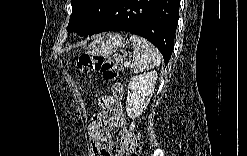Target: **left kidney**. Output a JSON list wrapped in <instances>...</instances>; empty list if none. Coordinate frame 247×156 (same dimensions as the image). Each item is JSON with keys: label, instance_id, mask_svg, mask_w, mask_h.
Instances as JSON below:
<instances>
[{"label": "left kidney", "instance_id": "1", "mask_svg": "<svg viewBox=\"0 0 247 156\" xmlns=\"http://www.w3.org/2000/svg\"><path fill=\"white\" fill-rule=\"evenodd\" d=\"M156 80V71L143 73L130 79L126 99V112L129 118L139 117L146 109L154 92Z\"/></svg>", "mask_w": 247, "mask_h": 156}]
</instances>
